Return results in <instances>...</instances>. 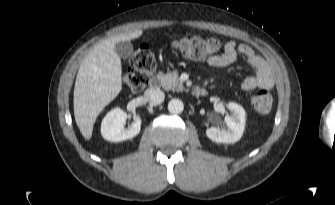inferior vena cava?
Returning a JSON list of instances; mask_svg holds the SVG:
<instances>
[{
  "instance_id": "obj_1",
  "label": "inferior vena cava",
  "mask_w": 335,
  "mask_h": 205,
  "mask_svg": "<svg viewBox=\"0 0 335 205\" xmlns=\"http://www.w3.org/2000/svg\"><path fill=\"white\" fill-rule=\"evenodd\" d=\"M145 97L149 101V103L158 105L163 102L165 95L158 88H149L145 91Z\"/></svg>"
}]
</instances>
